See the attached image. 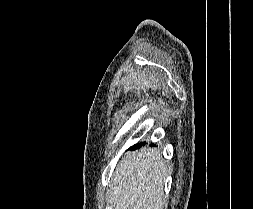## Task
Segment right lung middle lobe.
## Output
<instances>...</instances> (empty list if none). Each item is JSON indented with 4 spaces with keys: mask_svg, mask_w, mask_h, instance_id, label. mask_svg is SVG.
Returning a JSON list of instances; mask_svg holds the SVG:
<instances>
[{
    "mask_svg": "<svg viewBox=\"0 0 253 209\" xmlns=\"http://www.w3.org/2000/svg\"><path fill=\"white\" fill-rule=\"evenodd\" d=\"M140 145L142 146V145H144V143H140V144L134 145V146H132L130 149L133 150V149L137 148V147L140 146Z\"/></svg>",
    "mask_w": 253,
    "mask_h": 209,
    "instance_id": "right-lung-middle-lobe-1",
    "label": "right lung middle lobe"
}]
</instances>
